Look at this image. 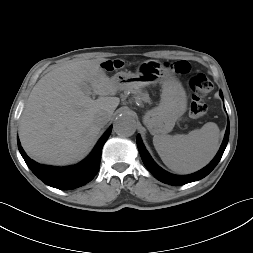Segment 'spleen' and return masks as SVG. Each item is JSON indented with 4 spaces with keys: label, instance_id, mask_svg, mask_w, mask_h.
Listing matches in <instances>:
<instances>
[{
    "label": "spleen",
    "instance_id": "3e777b00",
    "mask_svg": "<svg viewBox=\"0 0 253 253\" xmlns=\"http://www.w3.org/2000/svg\"><path fill=\"white\" fill-rule=\"evenodd\" d=\"M219 128L208 122L201 129L184 135H155L154 147L171 170L188 174L206 166L219 148Z\"/></svg>",
    "mask_w": 253,
    "mask_h": 253
}]
</instances>
